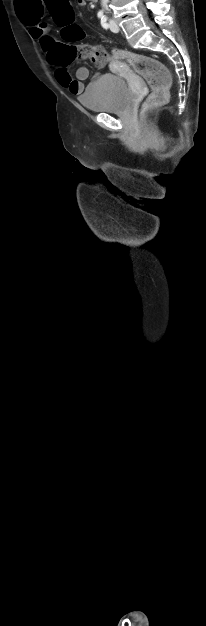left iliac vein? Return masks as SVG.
I'll list each match as a JSON object with an SVG mask.
<instances>
[{"label":"left iliac vein","mask_w":206,"mask_h":626,"mask_svg":"<svg viewBox=\"0 0 206 626\" xmlns=\"http://www.w3.org/2000/svg\"><path fill=\"white\" fill-rule=\"evenodd\" d=\"M109 27H110V30H111L112 32H118V31H119V27H118V25H117L116 21H115V20H113V19H111V20L109 21Z\"/></svg>","instance_id":"1"}]
</instances>
